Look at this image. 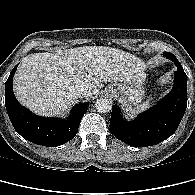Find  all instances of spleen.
I'll return each instance as SVG.
<instances>
[{
  "mask_svg": "<svg viewBox=\"0 0 195 195\" xmlns=\"http://www.w3.org/2000/svg\"><path fill=\"white\" fill-rule=\"evenodd\" d=\"M151 105H152V98H151V99H148L146 102H144V103L138 105L137 107H135V108H133V109H132V108L129 109L128 115H129L130 117H133V116H135L137 113L142 112V111L148 109Z\"/></svg>",
  "mask_w": 195,
  "mask_h": 195,
  "instance_id": "3e777b00",
  "label": "spleen"
}]
</instances>
